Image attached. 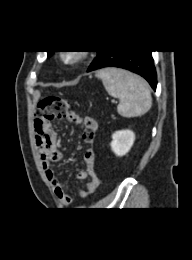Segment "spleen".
<instances>
[{
  "label": "spleen",
  "mask_w": 192,
  "mask_h": 260,
  "mask_svg": "<svg viewBox=\"0 0 192 260\" xmlns=\"http://www.w3.org/2000/svg\"><path fill=\"white\" fill-rule=\"evenodd\" d=\"M108 94L119 99L118 113L123 117H139L152 106L148 83L136 74L116 68H105L96 72Z\"/></svg>",
  "instance_id": "obj_1"
}]
</instances>
